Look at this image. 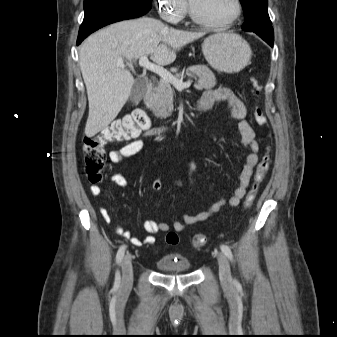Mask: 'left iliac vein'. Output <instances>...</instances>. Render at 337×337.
<instances>
[{
    "mask_svg": "<svg viewBox=\"0 0 337 337\" xmlns=\"http://www.w3.org/2000/svg\"><path fill=\"white\" fill-rule=\"evenodd\" d=\"M216 256L219 265V276L221 283L223 284V286L228 288L232 284V276L228 259L223 253H217Z\"/></svg>",
    "mask_w": 337,
    "mask_h": 337,
    "instance_id": "4c4485c4",
    "label": "left iliac vein"
}]
</instances>
